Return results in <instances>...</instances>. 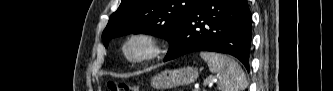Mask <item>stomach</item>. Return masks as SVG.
<instances>
[{
  "label": "stomach",
  "mask_w": 333,
  "mask_h": 91,
  "mask_svg": "<svg viewBox=\"0 0 333 91\" xmlns=\"http://www.w3.org/2000/svg\"><path fill=\"white\" fill-rule=\"evenodd\" d=\"M198 76V70L189 66L175 70H165L152 78L151 86L163 90L188 85L195 82Z\"/></svg>",
  "instance_id": "0dacf381"
}]
</instances>
